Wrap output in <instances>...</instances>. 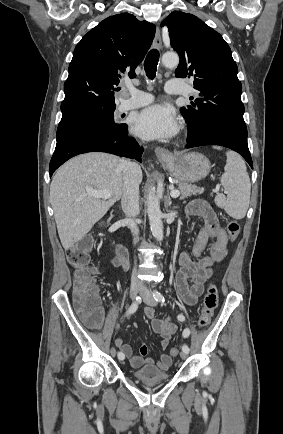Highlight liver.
Returning <instances> with one entry per match:
<instances>
[{"instance_id": "liver-1", "label": "liver", "mask_w": 283, "mask_h": 434, "mask_svg": "<svg viewBox=\"0 0 283 434\" xmlns=\"http://www.w3.org/2000/svg\"><path fill=\"white\" fill-rule=\"evenodd\" d=\"M123 159L92 152L72 158L55 173L50 185V201L58 234L65 250L82 239L122 197ZM142 181V171L138 174ZM110 191L106 200L87 195V190Z\"/></svg>"}]
</instances>
